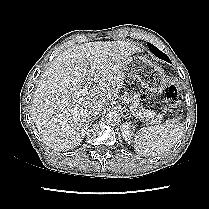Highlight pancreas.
Segmentation results:
<instances>
[{"label":"pancreas","mask_w":209,"mask_h":209,"mask_svg":"<svg viewBox=\"0 0 209 209\" xmlns=\"http://www.w3.org/2000/svg\"><path fill=\"white\" fill-rule=\"evenodd\" d=\"M126 103L128 104L129 109H132L135 111V116L144 122H151L153 124L160 123L163 119V116L161 114H157L155 112L144 110L140 106V96L134 95L130 96Z\"/></svg>","instance_id":"pancreas-1"}]
</instances>
